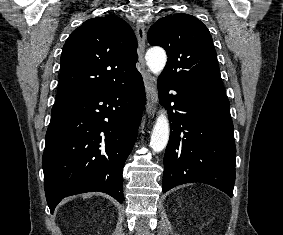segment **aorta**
Masks as SVG:
<instances>
[{
    "label": "aorta",
    "instance_id": "aorta-1",
    "mask_svg": "<svg viewBox=\"0 0 283 235\" xmlns=\"http://www.w3.org/2000/svg\"><path fill=\"white\" fill-rule=\"evenodd\" d=\"M145 59L150 71L155 75H159L166 65L167 56L162 48L153 47L147 51ZM169 133L168 117L165 113H161L156 119L151 134L150 146L154 152H161L166 147Z\"/></svg>",
    "mask_w": 283,
    "mask_h": 235
}]
</instances>
